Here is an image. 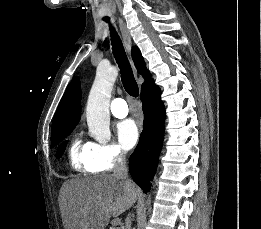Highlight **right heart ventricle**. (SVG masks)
<instances>
[{
    "label": "right heart ventricle",
    "mask_w": 261,
    "mask_h": 229,
    "mask_svg": "<svg viewBox=\"0 0 261 229\" xmlns=\"http://www.w3.org/2000/svg\"><path fill=\"white\" fill-rule=\"evenodd\" d=\"M92 150L93 144L91 142L81 143L77 139L73 140L69 149L71 166L79 171H93L90 164Z\"/></svg>",
    "instance_id": "obj_1"
}]
</instances>
